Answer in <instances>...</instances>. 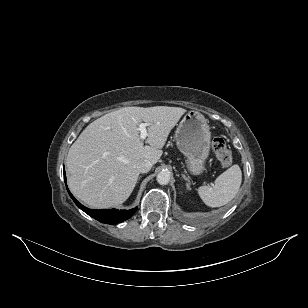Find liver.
Segmentation results:
<instances>
[{"label": "liver", "mask_w": 308, "mask_h": 308, "mask_svg": "<svg viewBox=\"0 0 308 308\" xmlns=\"http://www.w3.org/2000/svg\"><path fill=\"white\" fill-rule=\"evenodd\" d=\"M186 112L180 107H123L89 124L69 149L68 186L87 206L110 208L125 202L139 177L138 162L156 164L170 131ZM148 125V145L138 126Z\"/></svg>", "instance_id": "1"}]
</instances>
